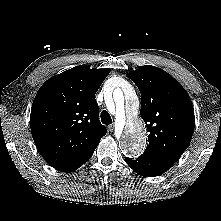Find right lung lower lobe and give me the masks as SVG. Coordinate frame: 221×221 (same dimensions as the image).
Returning a JSON list of instances; mask_svg holds the SVG:
<instances>
[{
    "mask_svg": "<svg viewBox=\"0 0 221 221\" xmlns=\"http://www.w3.org/2000/svg\"><path fill=\"white\" fill-rule=\"evenodd\" d=\"M95 148H92L91 150H89L85 154L79 156L78 158L71 161L70 163L63 165L62 167L58 168V170L62 171V172L75 171L76 169H78L80 166H82L85 162H87L91 158Z\"/></svg>",
    "mask_w": 221,
    "mask_h": 221,
    "instance_id": "obj_1",
    "label": "right lung lower lobe"
}]
</instances>
